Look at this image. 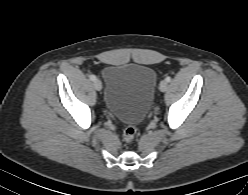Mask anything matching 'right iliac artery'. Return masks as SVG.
Listing matches in <instances>:
<instances>
[{"label": "right iliac artery", "instance_id": "right-iliac-artery-1", "mask_svg": "<svg viewBox=\"0 0 248 195\" xmlns=\"http://www.w3.org/2000/svg\"><path fill=\"white\" fill-rule=\"evenodd\" d=\"M89 78H90V80H92V81H95V80H96V76H95V75H90Z\"/></svg>", "mask_w": 248, "mask_h": 195}]
</instances>
